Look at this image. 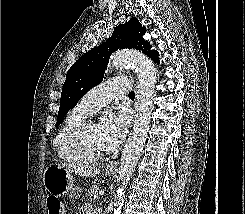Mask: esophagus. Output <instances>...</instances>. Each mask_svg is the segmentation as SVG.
<instances>
[{
	"label": "esophagus",
	"mask_w": 245,
	"mask_h": 214,
	"mask_svg": "<svg viewBox=\"0 0 245 214\" xmlns=\"http://www.w3.org/2000/svg\"><path fill=\"white\" fill-rule=\"evenodd\" d=\"M108 166L113 168V167L117 166V163L116 162H111V163L108 164Z\"/></svg>",
	"instance_id": "obj_1"
}]
</instances>
